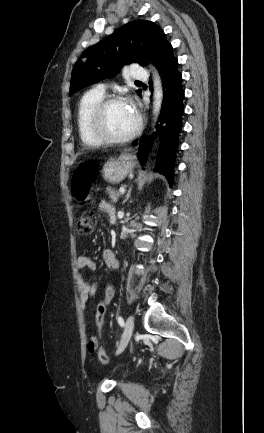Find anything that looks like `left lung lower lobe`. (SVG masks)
Segmentation results:
<instances>
[{"instance_id":"left-lung-lower-lobe-1","label":"left lung lower lobe","mask_w":264,"mask_h":433,"mask_svg":"<svg viewBox=\"0 0 264 433\" xmlns=\"http://www.w3.org/2000/svg\"><path fill=\"white\" fill-rule=\"evenodd\" d=\"M177 67L178 60L172 52L165 55L157 65L163 82L164 99L159 118L160 124L156 126L161 138L156 170L162 172L170 184H172L173 180V166L178 148V134L182 127L181 117L184 113L182 75ZM153 137L154 135L140 142L139 156L142 163L146 162Z\"/></svg>"}]
</instances>
